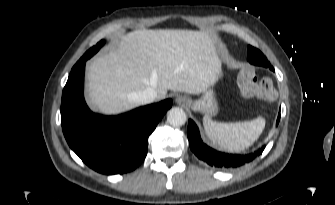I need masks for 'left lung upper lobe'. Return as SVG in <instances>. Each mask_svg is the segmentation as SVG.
<instances>
[{
  "mask_svg": "<svg viewBox=\"0 0 335 205\" xmlns=\"http://www.w3.org/2000/svg\"><path fill=\"white\" fill-rule=\"evenodd\" d=\"M247 59L251 64H254L257 66H263V67H270V69L273 70V67L270 66V62L257 48L248 46Z\"/></svg>",
  "mask_w": 335,
  "mask_h": 205,
  "instance_id": "left-lung-upper-lobe-1",
  "label": "left lung upper lobe"
}]
</instances>
